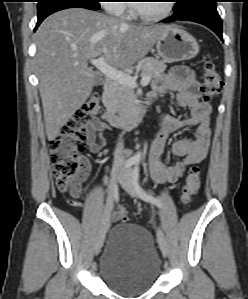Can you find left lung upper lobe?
<instances>
[{"mask_svg": "<svg viewBox=\"0 0 248 299\" xmlns=\"http://www.w3.org/2000/svg\"><path fill=\"white\" fill-rule=\"evenodd\" d=\"M205 1L216 2L217 0H178L177 4L182 10H186L191 5L199 4Z\"/></svg>", "mask_w": 248, "mask_h": 299, "instance_id": "left-lung-upper-lobe-1", "label": "left lung upper lobe"}]
</instances>
